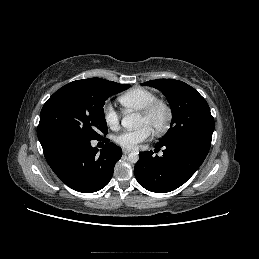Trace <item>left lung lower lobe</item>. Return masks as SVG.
<instances>
[{
	"label": "left lung lower lobe",
	"mask_w": 259,
	"mask_h": 259,
	"mask_svg": "<svg viewBox=\"0 0 259 259\" xmlns=\"http://www.w3.org/2000/svg\"><path fill=\"white\" fill-rule=\"evenodd\" d=\"M210 143L198 139H178L156 144V150L164 148L163 156L153 157L152 151L139 153L134 167L138 183L151 192H170L184 184L201 166Z\"/></svg>",
	"instance_id": "obj_1"
}]
</instances>
